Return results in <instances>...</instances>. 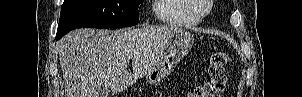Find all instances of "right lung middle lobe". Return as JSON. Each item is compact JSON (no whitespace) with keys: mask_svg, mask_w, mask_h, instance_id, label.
<instances>
[{"mask_svg":"<svg viewBox=\"0 0 302 97\" xmlns=\"http://www.w3.org/2000/svg\"><path fill=\"white\" fill-rule=\"evenodd\" d=\"M143 0H64L57 34L80 27L119 28L138 24Z\"/></svg>","mask_w":302,"mask_h":97,"instance_id":"dd1d6c3e","label":"right lung middle lobe"}]
</instances>
